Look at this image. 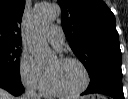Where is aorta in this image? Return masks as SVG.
Masks as SVG:
<instances>
[{
	"instance_id": "1",
	"label": "aorta",
	"mask_w": 128,
	"mask_h": 99,
	"mask_svg": "<svg viewBox=\"0 0 128 99\" xmlns=\"http://www.w3.org/2000/svg\"><path fill=\"white\" fill-rule=\"evenodd\" d=\"M56 4L42 5L35 9L32 21V31L28 40V47L36 62L40 66H47L57 59L56 53L47 45L43 38V30L59 15Z\"/></svg>"
}]
</instances>
